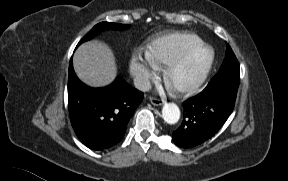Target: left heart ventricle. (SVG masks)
Listing matches in <instances>:
<instances>
[{
    "label": "left heart ventricle",
    "instance_id": "b2bd125f",
    "mask_svg": "<svg viewBox=\"0 0 288 181\" xmlns=\"http://www.w3.org/2000/svg\"><path fill=\"white\" fill-rule=\"evenodd\" d=\"M206 61V54L195 57L181 72L180 79H189L195 76Z\"/></svg>",
    "mask_w": 288,
    "mask_h": 181
}]
</instances>
